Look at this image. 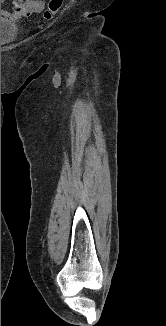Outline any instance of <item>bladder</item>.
<instances>
[{
  "label": "bladder",
  "mask_w": 166,
  "mask_h": 326,
  "mask_svg": "<svg viewBox=\"0 0 166 326\" xmlns=\"http://www.w3.org/2000/svg\"><path fill=\"white\" fill-rule=\"evenodd\" d=\"M18 24L1 16V47L11 44L17 36Z\"/></svg>",
  "instance_id": "bladder-1"
}]
</instances>
